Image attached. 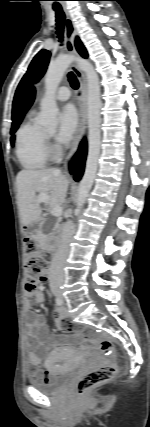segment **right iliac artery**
<instances>
[{
	"label": "right iliac artery",
	"mask_w": 150,
	"mask_h": 427,
	"mask_svg": "<svg viewBox=\"0 0 150 427\" xmlns=\"http://www.w3.org/2000/svg\"><path fill=\"white\" fill-rule=\"evenodd\" d=\"M55 301L57 305H62V300L59 297H56Z\"/></svg>",
	"instance_id": "1"
}]
</instances>
